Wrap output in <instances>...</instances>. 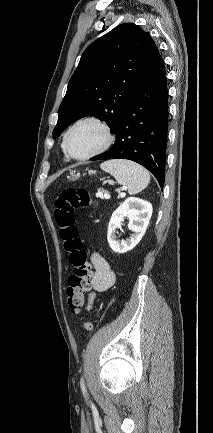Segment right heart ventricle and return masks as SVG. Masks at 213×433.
<instances>
[{
	"label": "right heart ventricle",
	"instance_id": "right-heart-ventricle-1",
	"mask_svg": "<svg viewBox=\"0 0 213 433\" xmlns=\"http://www.w3.org/2000/svg\"><path fill=\"white\" fill-rule=\"evenodd\" d=\"M62 150H63V153H64L65 157H67V155L65 153V150H64V145L63 144H62Z\"/></svg>",
	"mask_w": 213,
	"mask_h": 433
}]
</instances>
